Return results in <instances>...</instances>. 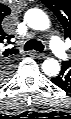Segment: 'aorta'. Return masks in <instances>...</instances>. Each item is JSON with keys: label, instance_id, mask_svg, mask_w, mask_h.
<instances>
[{"label": "aorta", "instance_id": "762f6f07", "mask_svg": "<svg viewBox=\"0 0 71 119\" xmlns=\"http://www.w3.org/2000/svg\"><path fill=\"white\" fill-rule=\"evenodd\" d=\"M25 21L29 27L35 30H46L50 25L48 16L37 8L26 12ZM42 69L47 76H56L60 72V65L57 60L48 58L42 63Z\"/></svg>", "mask_w": 71, "mask_h": 119}]
</instances>
